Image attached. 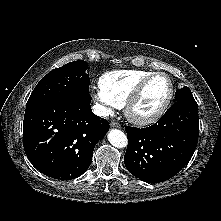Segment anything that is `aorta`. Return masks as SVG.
<instances>
[{
	"label": "aorta",
	"instance_id": "obj_1",
	"mask_svg": "<svg viewBox=\"0 0 221 221\" xmlns=\"http://www.w3.org/2000/svg\"><path fill=\"white\" fill-rule=\"evenodd\" d=\"M108 141L117 148H124L128 144L127 136L118 129H112L108 133Z\"/></svg>",
	"mask_w": 221,
	"mask_h": 221
}]
</instances>
